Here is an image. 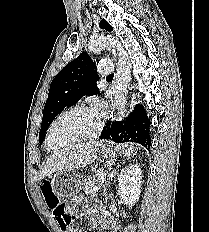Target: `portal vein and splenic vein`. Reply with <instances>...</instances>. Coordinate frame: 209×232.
<instances>
[{
  "label": "portal vein and splenic vein",
  "instance_id": "portal-vein-and-splenic-vein-1",
  "mask_svg": "<svg viewBox=\"0 0 209 232\" xmlns=\"http://www.w3.org/2000/svg\"><path fill=\"white\" fill-rule=\"evenodd\" d=\"M105 176H106V174H105V173L101 175L100 179H99V180L97 181V183H96V184H97V186H99V185H100V183L102 182V180H103V179H105ZM96 189H97V187H96Z\"/></svg>",
  "mask_w": 209,
  "mask_h": 232
}]
</instances>
